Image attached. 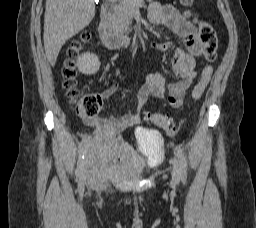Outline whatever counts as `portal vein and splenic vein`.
<instances>
[{"mask_svg": "<svg viewBox=\"0 0 256 228\" xmlns=\"http://www.w3.org/2000/svg\"><path fill=\"white\" fill-rule=\"evenodd\" d=\"M112 2H115L117 0H111ZM136 3L140 4L142 2V0H134Z\"/></svg>", "mask_w": 256, "mask_h": 228, "instance_id": "portal-vein-and-splenic-vein-1", "label": "portal vein and splenic vein"}]
</instances>
